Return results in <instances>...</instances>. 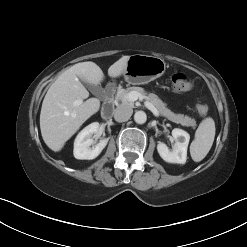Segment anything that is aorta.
<instances>
[{"label": "aorta", "mask_w": 247, "mask_h": 247, "mask_svg": "<svg viewBox=\"0 0 247 247\" xmlns=\"http://www.w3.org/2000/svg\"><path fill=\"white\" fill-rule=\"evenodd\" d=\"M147 120V115L144 111H137L134 114V121L138 124H144Z\"/></svg>", "instance_id": "762f6f07"}]
</instances>
